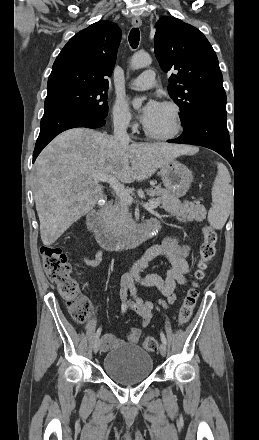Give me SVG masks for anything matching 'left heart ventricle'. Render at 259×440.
Returning <instances> with one entry per match:
<instances>
[{"instance_id": "left-heart-ventricle-1", "label": "left heart ventricle", "mask_w": 259, "mask_h": 440, "mask_svg": "<svg viewBox=\"0 0 259 440\" xmlns=\"http://www.w3.org/2000/svg\"><path fill=\"white\" fill-rule=\"evenodd\" d=\"M146 127L157 134H166L172 129V114L171 111L161 106L159 113Z\"/></svg>"}]
</instances>
